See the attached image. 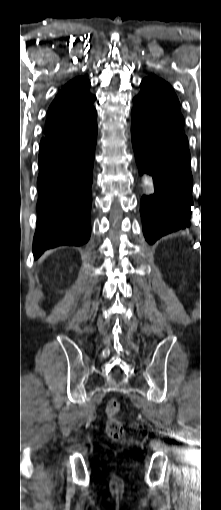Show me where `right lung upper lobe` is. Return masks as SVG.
Returning a JSON list of instances; mask_svg holds the SVG:
<instances>
[{
  "mask_svg": "<svg viewBox=\"0 0 221 510\" xmlns=\"http://www.w3.org/2000/svg\"><path fill=\"white\" fill-rule=\"evenodd\" d=\"M90 81L77 77L69 81L49 107L44 141L60 138L87 127L97 117L93 102L96 96L89 92Z\"/></svg>",
  "mask_w": 221,
  "mask_h": 510,
  "instance_id": "cb5924a9",
  "label": "right lung upper lobe"
}]
</instances>
